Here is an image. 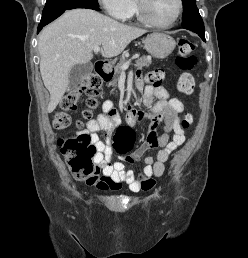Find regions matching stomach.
Wrapping results in <instances>:
<instances>
[{
	"label": "stomach",
	"instance_id": "1",
	"mask_svg": "<svg viewBox=\"0 0 248 258\" xmlns=\"http://www.w3.org/2000/svg\"><path fill=\"white\" fill-rule=\"evenodd\" d=\"M175 40L164 33H152L144 40V48L153 57L166 58L175 49Z\"/></svg>",
	"mask_w": 248,
	"mask_h": 258
}]
</instances>
